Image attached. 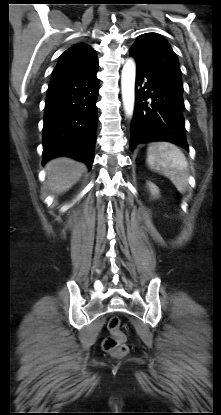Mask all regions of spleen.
Listing matches in <instances>:
<instances>
[{
  "label": "spleen",
  "mask_w": 221,
  "mask_h": 415,
  "mask_svg": "<svg viewBox=\"0 0 221 415\" xmlns=\"http://www.w3.org/2000/svg\"><path fill=\"white\" fill-rule=\"evenodd\" d=\"M147 164L168 177L180 193L186 191L188 184V162L183 152L168 142L153 143L147 150Z\"/></svg>",
  "instance_id": "1"
}]
</instances>
